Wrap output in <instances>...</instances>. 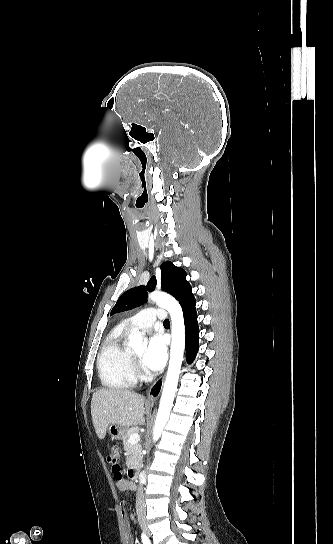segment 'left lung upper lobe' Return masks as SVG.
<instances>
[{
	"instance_id": "obj_1",
	"label": "left lung upper lobe",
	"mask_w": 333,
	"mask_h": 544,
	"mask_svg": "<svg viewBox=\"0 0 333 544\" xmlns=\"http://www.w3.org/2000/svg\"><path fill=\"white\" fill-rule=\"evenodd\" d=\"M155 285L156 278L153 276L147 286L134 287L123 293L113 307L111 315L142 305L146 302L147 291L153 290ZM161 287L163 291L174 296L182 307L195 301L191 286L186 280V272L182 268L174 266L170 261L161 265Z\"/></svg>"
}]
</instances>
